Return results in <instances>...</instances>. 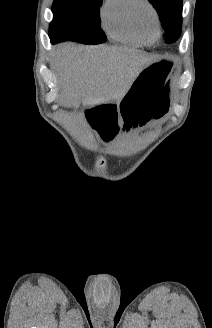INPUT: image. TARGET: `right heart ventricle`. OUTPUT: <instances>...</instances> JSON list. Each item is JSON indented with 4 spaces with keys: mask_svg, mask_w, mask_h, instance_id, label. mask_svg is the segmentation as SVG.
I'll use <instances>...</instances> for the list:
<instances>
[{
    "mask_svg": "<svg viewBox=\"0 0 212 328\" xmlns=\"http://www.w3.org/2000/svg\"><path fill=\"white\" fill-rule=\"evenodd\" d=\"M135 0H105L101 8V24L105 32L113 39L132 45H150L158 33H142L136 26L132 8Z\"/></svg>",
    "mask_w": 212,
    "mask_h": 328,
    "instance_id": "1",
    "label": "right heart ventricle"
}]
</instances>
